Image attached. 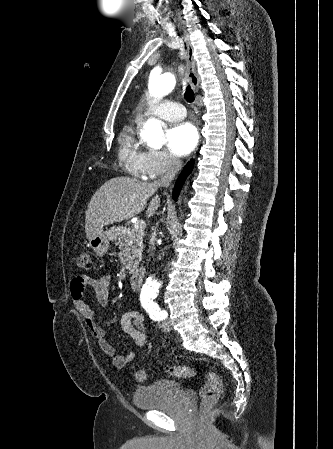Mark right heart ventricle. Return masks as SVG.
Returning <instances> with one entry per match:
<instances>
[{"instance_id": "1", "label": "right heart ventricle", "mask_w": 333, "mask_h": 449, "mask_svg": "<svg viewBox=\"0 0 333 449\" xmlns=\"http://www.w3.org/2000/svg\"><path fill=\"white\" fill-rule=\"evenodd\" d=\"M119 154L136 176H143L140 164L142 152L139 151L134 130L128 128L120 134Z\"/></svg>"}]
</instances>
